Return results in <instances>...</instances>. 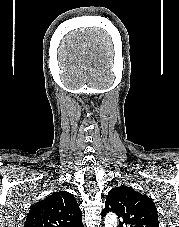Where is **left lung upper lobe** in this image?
Wrapping results in <instances>:
<instances>
[{
	"label": "left lung upper lobe",
	"mask_w": 179,
	"mask_h": 227,
	"mask_svg": "<svg viewBox=\"0 0 179 227\" xmlns=\"http://www.w3.org/2000/svg\"><path fill=\"white\" fill-rule=\"evenodd\" d=\"M108 212H115L118 215L120 226L159 227L153 201L127 186L116 187L109 191L102 216L104 217Z\"/></svg>",
	"instance_id": "obj_1"
}]
</instances>
